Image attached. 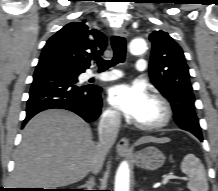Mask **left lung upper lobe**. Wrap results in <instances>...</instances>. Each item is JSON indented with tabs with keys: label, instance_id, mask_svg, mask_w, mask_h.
<instances>
[{
	"label": "left lung upper lobe",
	"instance_id": "1",
	"mask_svg": "<svg viewBox=\"0 0 218 191\" xmlns=\"http://www.w3.org/2000/svg\"><path fill=\"white\" fill-rule=\"evenodd\" d=\"M149 40L152 43L149 69L152 83L170 101L175 121L180 119V127L193 134H201L194 112L189 68L181 47L162 30L153 31ZM185 115L187 121L181 117Z\"/></svg>",
	"mask_w": 218,
	"mask_h": 191
}]
</instances>
